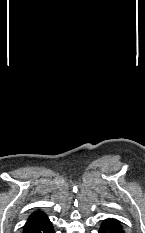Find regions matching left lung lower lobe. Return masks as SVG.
<instances>
[{
	"label": "left lung lower lobe",
	"mask_w": 145,
	"mask_h": 233,
	"mask_svg": "<svg viewBox=\"0 0 145 233\" xmlns=\"http://www.w3.org/2000/svg\"><path fill=\"white\" fill-rule=\"evenodd\" d=\"M99 233H124V231L111 221L105 220L100 226Z\"/></svg>",
	"instance_id": "1"
}]
</instances>
